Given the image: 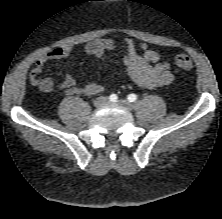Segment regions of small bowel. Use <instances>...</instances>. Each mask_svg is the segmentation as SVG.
<instances>
[{
	"label": "small bowel",
	"mask_w": 222,
	"mask_h": 219,
	"mask_svg": "<svg viewBox=\"0 0 222 219\" xmlns=\"http://www.w3.org/2000/svg\"><path fill=\"white\" fill-rule=\"evenodd\" d=\"M126 55L123 65L128 77L138 86L146 89L168 85L173 82L175 75L170 63L163 60L161 55L145 43L137 44L134 40L126 38L123 41ZM117 48V44L108 38L96 39L84 47L87 55L101 60L105 59L106 51ZM72 51L70 45H64L47 51L35 62L30 71L28 81L32 86L38 87L43 92H52L58 89L70 95H96L103 92L104 88L99 83L78 85L73 75L67 73L63 81L56 85L49 77H42L44 67L53 60H66ZM141 52V53H140Z\"/></svg>",
	"instance_id": "1"
}]
</instances>
